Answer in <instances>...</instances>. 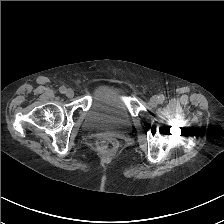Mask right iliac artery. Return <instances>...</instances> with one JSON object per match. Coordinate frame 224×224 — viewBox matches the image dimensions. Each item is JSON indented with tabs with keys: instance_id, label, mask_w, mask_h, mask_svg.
<instances>
[{
	"instance_id": "82829eb1",
	"label": "right iliac artery",
	"mask_w": 224,
	"mask_h": 224,
	"mask_svg": "<svg viewBox=\"0 0 224 224\" xmlns=\"http://www.w3.org/2000/svg\"><path fill=\"white\" fill-rule=\"evenodd\" d=\"M59 91H60V93H62V94L66 93V87H65V86H61V87L59 88Z\"/></svg>"
}]
</instances>
